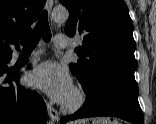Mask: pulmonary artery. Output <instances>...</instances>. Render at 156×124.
I'll list each match as a JSON object with an SVG mask.
<instances>
[{
    "label": "pulmonary artery",
    "mask_w": 156,
    "mask_h": 124,
    "mask_svg": "<svg viewBox=\"0 0 156 124\" xmlns=\"http://www.w3.org/2000/svg\"><path fill=\"white\" fill-rule=\"evenodd\" d=\"M70 45L69 39L64 35H57L55 37V46L57 48H65Z\"/></svg>",
    "instance_id": "1"
}]
</instances>
